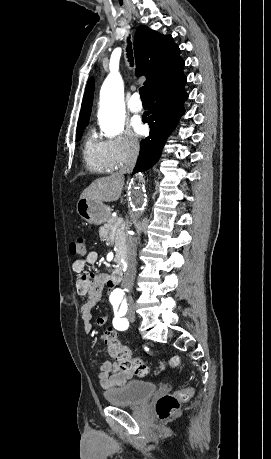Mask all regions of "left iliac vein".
<instances>
[{"mask_svg": "<svg viewBox=\"0 0 271 459\" xmlns=\"http://www.w3.org/2000/svg\"><path fill=\"white\" fill-rule=\"evenodd\" d=\"M127 318L129 321L133 322L134 321V312L132 310L128 311Z\"/></svg>", "mask_w": 271, "mask_h": 459, "instance_id": "1", "label": "left iliac vein"}]
</instances>
